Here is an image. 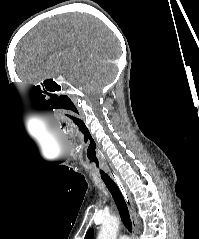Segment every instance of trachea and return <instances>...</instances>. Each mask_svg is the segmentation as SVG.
<instances>
[{"label":"trachea","instance_id":"3493384b","mask_svg":"<svg viewBox=\"0 0 199 239\" xmlns=\"http://www.w3.org/2000/svg\"><path fill=\"white\" fill-rule=\"evenodd\" d=\"M101 179L105 183L106 187L110 191V193L115 201V204L119 210V213H120V216H121L124 226L128 229V231L131 232L132 231V223H131L127 204L124 200V197H123L121 191L119 190L116 183L107 174H101Z\"/></svg>","mask_w":199,"mask_h":239}]
</instances>
